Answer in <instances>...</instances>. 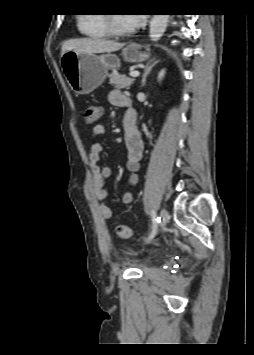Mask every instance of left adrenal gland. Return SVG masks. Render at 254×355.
<instances>
[{
  "label": "left adrenal gland",
  "instance_id": "left-adrenal-gland-1",
  "mask_svg": "<svg viewBox=\"0 0 254 355\" xmlns=\"http://www.w3.org/2000/svg\"><path fill=\"white\" fill-rule=\"evenodd\" d=\"M158 62L159 60L155 61V59H152L146 64L142 75L141 88L145 86L147 76Z\"/></svg>",
  "mask_w": 254,
  "mask_h": 355
}]
</instances>
